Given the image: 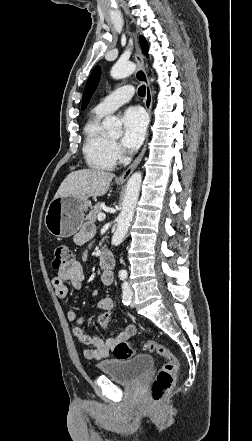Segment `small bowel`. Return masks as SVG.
<instances>
[{
    "label": "small bowel",
    "instance_id": "obj_1",
    "mask_svg": "<svg viewBox=\"0 0 252 441\" xmlns=\"http://www.w3.org/2000/svg\"><path fill=\"white\" fill-rule=\"evenodd\" d=\"M94 235L95 228L93 226L86 225L75 235L74 242L78 245L85 244ZM113 279L114 277L111 271H103L101 273V281L105 286H110L113 283ZM83 280L84 273L82 266L79 261L73 259L71 262L58 270L52 279V284L56 295L61 299H65L68 297L67 283H70L75 290L80 291L83 286ZM109 303L114 305V300L110 297H105L96 302L94 308L96 310H100ZM67 319L74 323L73 334L76 339L88 346L84 350V356L87 359L101 360L109 357L118 343L128 340L136 332L134 325H128L115 337L107 339L90 337L85 334L82 327L84 322L83 316L78 315L74 310H69L67 312Z\"/></svg>",
    "mask_w": 252,
    "mask_h": 441
}]
</instances>
